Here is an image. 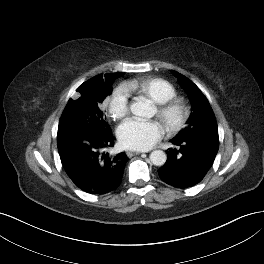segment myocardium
I'll return each instance as SVG.
<instances>
[{
    "mask_svg": "<svg viewBox=\"0 0 264 264\" xmlns=\"http://www.w3.org/2000/svg\"><path fill=\"white\" fill-rule=\"evenodd\" d=\"M158 117L170 133L180 131L189 117V108L180 98H172L165 103L158 104Z\"/></svg>",
    "mask_w": 264,
    "mask_h": 264,
    "instance_id": "f54148a6",
    "label": "myocardium"
}]
</instances>
